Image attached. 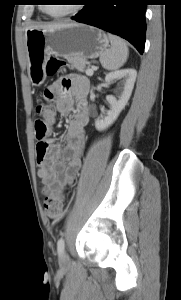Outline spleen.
<instances>
[{
  "mask_svg": "<svg viewBox=\"0 0 181 300\" xmlns=\"http://www.w3.org/2000/svg\"><path fill=\"white\" fill-rule=\"evenodd\" d=\"M111 48L104 51L100 56V62L104 69L112 71L117 70L124 65L128 57V47L120 37L108 34Z\"/></svg>",
  "mask_w": 181,
  "mask_h": 300,
  "instance_id": "1",
  "label": "spleen"
}]
</instances>
